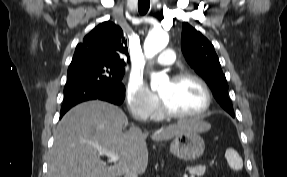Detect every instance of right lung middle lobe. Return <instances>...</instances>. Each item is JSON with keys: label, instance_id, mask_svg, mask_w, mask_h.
<instances>
[{"label": "right lung middle lobe", "instance_id": "1", "mask_svg": "<svg viewBox=\"0 0 287 177\" xmlns=\"http://www.w3.org/2000/svg\"><path fill=\"white\" fill-rule=\"evenodd\" d=\"M124 69L107 62H77L70 64L68 68L67 81L90 78L97 81L115 84L121 83Z\"/></svg>", "mask_w": 287, "mask_h": 177}]
</instances>
